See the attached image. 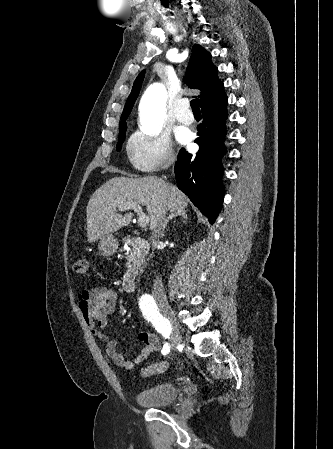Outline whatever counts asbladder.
I'll return each instance as SVG.
<instances>
[{"label":"bladder","instance_id":"bladder-1","mask_svg":"<svg viewBox=\"0 0 333 449\" xmlns=\"http://www.w3.org/2000/svg\"><path fill=\"white\" fill-rule=\"evenodd\" d=\"M180 389L171 382H161L136 392L135 400L143 407L157 408L171 406L180 397Z\"/></svg>","mask_w":333,"mask_h":449}]
</instances>
